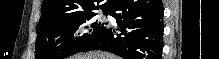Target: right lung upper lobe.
<instances>
[{"label": "right lung upper lobe", "instance_id": "1", "mask_svg": "<svg viewBox=\"0 0 219 59\" xmlns=\"http://www.w3.org/2000/svg\"><path fill=\"white\" fill-rule=\"evenodd\" d=\"M101 0H44L41 9V18L38 26H42L48 22L92 13V10L99 9L96 3ZM115 0H107L100 6L102 11H109Z\"/></svg>", "mask_w": 219, "mask_h": 59}]
</instances>
